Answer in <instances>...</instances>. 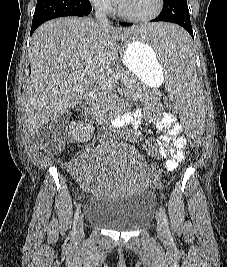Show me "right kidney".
<instances>
[{
    "label": "right kidney",
    "mask_w": 227,
    "mask_h": 267,
    "mask_svg": "<svg viewBox=\"0 0 227 267\" xmlns=\"http://www.w3.org/2000/svg\"><path fill=\"white\" fill-rule=\"evenodd\" d=\"M94 133V127L90 124H85L83 122H71L70 125V136L72 139L79 143H84L92 138Z\"/></svg>",
    "instance_id": "1"
}]
</instances>
